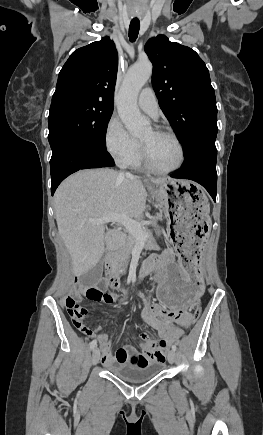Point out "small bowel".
<instances>
[{"label":"small bowel","mask_w":263,"mask_h":435,"mask_svg":"<svg viewBox=\"0 0 263 435\" xmlns=\"http://www.w3.org/2000/svg\"><path fill=\"white\" fill-rule=\"evenodd\" d=\"M163 258H174V255L170 250H165L160 255L150 256L142 266L139 277L148 275L157 267L160 268V262ZM116 285H120V283H116ZM124 292L127 295L132 293L128 288H125ZM133 293L143 304L141 312L142 323L155 330L159 335L160 341L152 339L147 334H142L140 339L141 352L135 350L131 345H126L118 349L115 354H112V340L105 333H100L102 363L105 366L110 367L115 363L139 366L151 361H164L165 355H169L174 347V344L169 340L175 341L181 336L184 332L182 325L190 318L187 310H168L166 305H158V303L149 304L141 292L136 291ZM82 295L80 290H75L74 297L77 301L82 299ZM112 296L114 301L116 295L112 294Z\"/></svg>","instance_id":"obj_1"}]
</instances>
